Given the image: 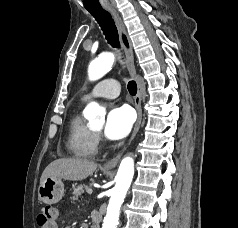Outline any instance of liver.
Returning a JSON list of instances; mask_svg holds the SVG:
<instances>
[{
	"label": "liver",
	"instance_id": "liver-1",
	"mask_svg": "<svg viewBox=\"0 0 238 228\" xmlns=\"http://www.w3.org/2000/svg\"><path fill=\"white\" fill-rule=\"evenodd\" d=\"M97 169L93 161L81 158H60L51 162L43 171L40 184L46 178L81 181L91 176Z\"/></svg>",
	"mask_w": 238,
	"mask_h": 228
}]
</instances>
